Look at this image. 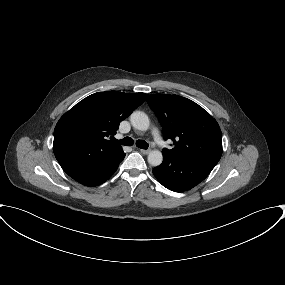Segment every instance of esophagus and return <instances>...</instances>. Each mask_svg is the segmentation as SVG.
Listing matches in <instances>:
<instances>
[{
  "label": "esophagus",
  "mask_w": 285,
  "mask_h": 285,
  "mask_svg": "<svg viewBox=\"0 0 285 285\" xmlns=\"http://www.w3.org/2000/svg\"><path fill=\"white\" fill-rule=\"evenodd\" d=\"M140 152L142 154H144V155H147L150 152V150H148V149H140Z\"/></svg>",
  "instance_id": "esophagus-1"
}]
</instances>
